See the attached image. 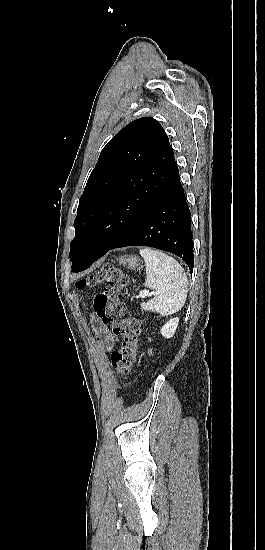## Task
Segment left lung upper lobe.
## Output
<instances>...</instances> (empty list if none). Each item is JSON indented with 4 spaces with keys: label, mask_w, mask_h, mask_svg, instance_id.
Here are the masks:
<instances>
[{
    "label": "left lung upper lobe",
    "mask_w": 265,
    "mask_h": 550,
    "mask_svg": "<svg viewBox=\"0 0 265 550\" xmlns=\"http://www.w3.org/2000/svg\"><path fill=\"white\" fill-rule=\"evenodd\" d=\"M179 173L160 123L137 119L102 149L74 221L72 270L93 252H103L132 225Z\"/></svg>",
    "instance_id": "5c2ea615"
}]
</instances>
